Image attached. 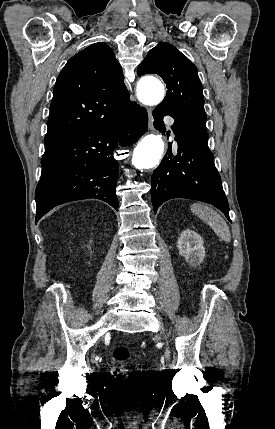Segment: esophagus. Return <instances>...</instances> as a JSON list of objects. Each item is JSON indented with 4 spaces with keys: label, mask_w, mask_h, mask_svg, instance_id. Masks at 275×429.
I'll return each instance as SVG.
<instances>
[{
    "label": "esophagus",
    "mask_w": 275,
    "mask_h": 429,
    "mask_svg": "<svg viewBox=\"0 0 275 429\" xmlns=\"http://www.w3.org/2000/svg\"><path fill=\"white\" fill-rule=\"evenodd\" d=\"M148 112V118H149V129H153V117H152V110L150 108H147Z\"/></svg>",
    "instance_id": "obj_1"
}]
</instances>
